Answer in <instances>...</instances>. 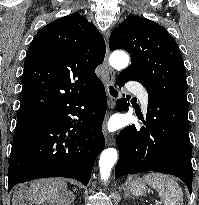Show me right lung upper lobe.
Returning a JSON list of instances; mask_svg holds the SVG:
<instances>
[{
    "label": "right lung upper lobe",
    "mask_w": 199,
    "mask_h": 205,
    "mask_svg": "<svg viewBox=\"0 0 199 205\" xmlns=\"http://www.w3.org/2000/svg\"><path fill=\"white\" fill-rule=\"evenodd\" d=\"M105 53L103 37L79 13L43 27L26 54L17 119L42 116L93 89Z\"/></svg>",
    "instance_id": "right-lung-upper-lobe-1"
}]
</instances>
